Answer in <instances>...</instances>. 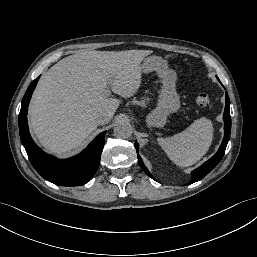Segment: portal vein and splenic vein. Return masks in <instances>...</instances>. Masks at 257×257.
Instances as JSON below:
<instances>
[{
	"label": "portal vein and splenic vein",
	"mask_w": 257,
	"mask_h": 257,
	"mask_svg": "<svg viewBox=\"0 0 257 257\" xmlns=\"http://www.w3.org/2000/svg\"><path fill=\"white\" fill-rule=\"evenodd\" d=\"M105 94H106V96H110L111 90H110L109 86L105 89Z\"/></svg>",
	"instance_id": "1"
}]
</instances>
